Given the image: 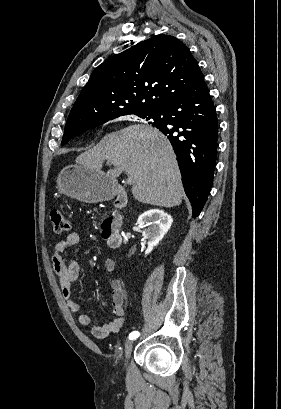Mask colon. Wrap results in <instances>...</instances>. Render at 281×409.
Instances as JSON below:
<instances>
[{
    "mask_svg": "<svg viewBox=\"0 0 281 409\" xmlns=\"http://www.w3.org/2000/svg\"><path fill=\"white\" fill-rule=\"evenodd\" d=\"M50 219L56 234H66L71 227L69 216L60 210L54 209L50 212Z\"/></svg>",
    "mask_w": 281,
    "mask_h": 409,
    "instance_id": "1",
    "label": "colon"
}]
</instances>
